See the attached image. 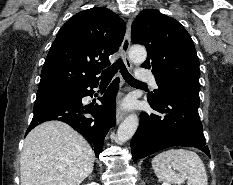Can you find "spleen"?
<instances>
[{"label":"spleen","instance_id":"obj_1","mask_svg":"<svg viewBox=\"0 0 233 185\" xmlns=\"http://www.w3.org/2000/svg\"><path fill=\"white\" fill-rule=\"evenodd\" d=\"M152 168L163 184L208 185V176L201 158L193 151L170 149L152 159Z\"/></svg>","mask_w":233,"mask_h":185}]
</instances>
